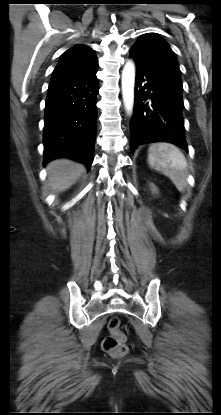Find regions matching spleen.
I'll use <instances>...</instances> for the list:
<instances>
[{"label":"spleen","mask_w":221,"mask_h":415,"mask_svg":"<svg viewBox=\"0 0 221 415\" xmlns=\"http://www.w3.org/2000/svg\"><path fill=\"white\" fill-rule=\"evenodd\" d=\"M148 163L152 169L169 177L183 192L187 184V161L183 153L169 143H156L148 150Z\"/></svg>","instance_id":"spleen-1"}]
</instances>
